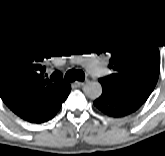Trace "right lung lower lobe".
<instances>
[{
	"mask_svg": "<svg viewBox=\"0 0 165 156\" xmlns=\"http://www.w3.org/2000/svg\"><path fill=\"white\" fill-rule=\"evenodd\" d=\"M70 90H69V92H70ZM69 92L66 94V96L53 109H51L47 113H45V114L29 121V122H31V123H43V122H46V121L52 119L56 115L58 110L60 109L62 103L66 100L67 96L69 95Z\"/></svg>",
	"mask_w": 165,
	"mask_h": 156,
	"instance_id": "1",
	"label": "right lung lower lobe"
}]
</instances>
